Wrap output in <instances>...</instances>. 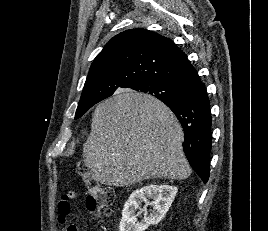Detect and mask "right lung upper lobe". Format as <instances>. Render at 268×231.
<instances>
[{
    "instance_id": "right-lung-upper-lobe-1",
    "label": "right lung upper lobe",
    "mask_w": 268,
    "mask_h": 231,
    "mask_svg": "<svg viewBox=\"0 0 268 231\" xmlns=\"http://www.w3.org/2000/svg\"><path fill=\"white\" fill-rule=\"evenodd\" d=\"M160 81L188 91L200 78L187 56L167 37L138 28L114 36L94 59L80 102L96 104L118 88Z\"/></svg>"
}]
</instances>
